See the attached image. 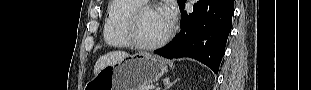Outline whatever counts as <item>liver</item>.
I'll list each match as a JSON object with an SVG mask.
<instances>
[{
	"label": "liver",
	"mask_w": 311,
	"mask_h": 90,
	"mask_svg": "<svg viewBox=\"0 0 311 90\" xmlns=\"http://www.w3.org/2000/svg\"><path fill=\"white\" fill-rule=\"evenodd\" d=\"M128 56L129 54L124 51H113L101 56L94 66V75H96L104 67L115 65Z\"/></svg>",
	"instance_id": "obj_1"
}]
</instances>
